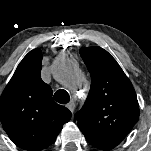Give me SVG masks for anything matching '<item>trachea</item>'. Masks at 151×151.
Wrapping results in <instances>:
<instances>
[{
    "mask_svg": "<svg viewBox=\"0 0 151 151\" xmlns=\"http://www.w3.org/2000/svg\"><path fill=\"white\" fill-rule=\"evenodd\" d=\"M54 99L60 104H66L70 101V96L66 90H57L54 94Z\"/></svg>",
    "mask_w": 151,
    "mask_h": 151,
    "instance_id": "1",
    "label": "trachea"
}]
</instances>
